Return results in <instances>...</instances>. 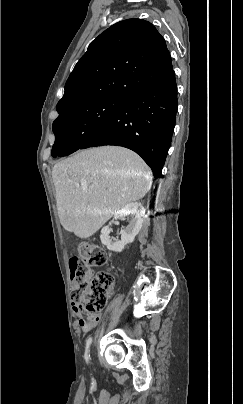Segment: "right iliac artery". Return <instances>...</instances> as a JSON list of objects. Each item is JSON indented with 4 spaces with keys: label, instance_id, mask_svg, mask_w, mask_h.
Returning a JSON list of instances; mask_svg holds the SVG:
<instances>
[{
    "label": "right iliac artery",
    "instance_id": "1",
    "mask_svg": "<svg viewBox=\"0 0 243 404\" xmlns=\"http://www.w3.org/2000/svg\"><path fill=\"white\" fill-rule=\"evenodd\" d=\"M91 343H92V337H89L86 341V349H85V354H84V358L87 363L89 362V359H90L89 351H90Z\"/></svg>",
    "mask_w": 243,
    "mask_h": 404
}]
</instances>
